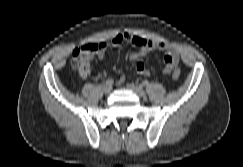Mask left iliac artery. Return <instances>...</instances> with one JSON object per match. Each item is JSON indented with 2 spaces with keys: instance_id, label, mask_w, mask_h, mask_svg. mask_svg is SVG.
<instances>
[{
  "instance_id": "1",
  "label": "left iliac artery",
  "mask_w": 243,
  "mask_h": 167,
  "mask_svg": "<svg viewBox=\"0 0 243 167\" xmlns=\"http://www.w3.org/2000/svg\"><path fill=\"white\" fill-rule=\"evenodd\" d=\"M142 85H143V86H148V85H149V82H148L147 80H144V81L142 82Z\"/></svg>"
}]
</instances>
